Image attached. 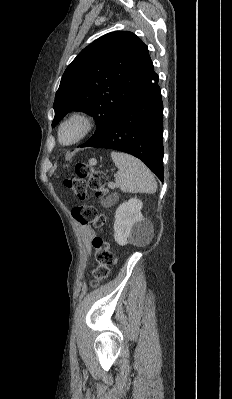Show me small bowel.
<instances>
[{
	"mask_svg": "<svg viewBox=\"0 0 232 399\" xmlns=\"http://www.w3.org/2000/svg\"><path fill=\"white\" fill-rule=\"evenodd\" d=\"M80 235L83 246L86 251H90L92 240L94 238V231L89 226H81L80 227Z\"/></svg>",
	"mask_w": 232,
	"mask_h": 399,
	"instance_id": "1",
	"label": "small bowel"
}]
</instances>
